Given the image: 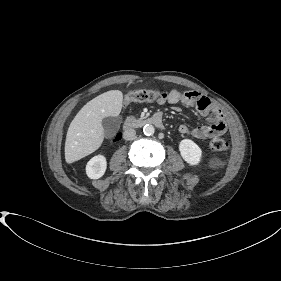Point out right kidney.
I'll return each instance as SVG.
<instances>
[{"instance_id": "ca27d5eb", "label": "right kidney", "mask_w": 281, "mask_h": 281, "mask_svg": "<svg viewBox=\"0 0 281 281\" xmlns=\"http://www.w3.org/2000/svg\"><path fill=\"white\" fill-rule=\"evenodd\" d=\"M107 168V161L103 155L92 157L86 165V174L90 179L102 177Z\"/></svg>"}]
</instances>
